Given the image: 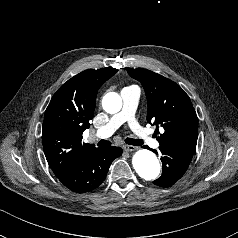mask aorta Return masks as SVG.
Returning <instances> with one entry per match:
<instances>
[{
	"label": "aorta",
	"instance_id": "aorta-1",
	"mask_svg": "<svg viewBox=\"0 0 238 238\" xmlns=\"http://www.w3.org/2000/svg\"><path fill=\"white\" fill-rule=\"evenodd\" d=\"M102 107L107 113H117L122 107V99L115 92L107 93L102 99ZM132 164L138 175L147 181L155 180L160 175L159 161L149 150H138L133 156Z\"/></svg>",
	"mask_w": 238,
	"mask_h": 238
}]
</instances>
